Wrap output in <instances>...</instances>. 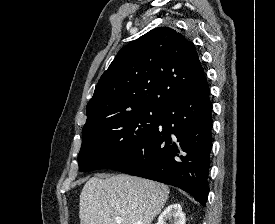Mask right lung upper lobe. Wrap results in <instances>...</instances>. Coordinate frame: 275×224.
<instances>
[{"label":"right lung upper lobe","instance_id":"obj_1","mask_svg":"<svg viewBox=\"0 0 275 224\" xmlns=\"http://www.w3.org/2000/svg\"><path fill=\"white\" fill-rule=\"evenodd\" d=\"M204 74L195 46L173 28L158 27L124 46L87 104L83 129L145 108L165 109Z\"/></svg>","mask_w":275,"mask_h":224}]
</instances>
